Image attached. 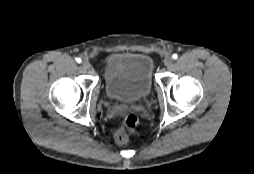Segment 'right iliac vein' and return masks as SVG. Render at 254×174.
Masks as SVG:
<instances>
[{"label": "right iliac vein", "mask_w": 254, "mask_h": 174, "mask_svg": "<svg viewBox=\"0 0 254 174\" xmlns=\"http://www.w3.org/2000/svg\"><path fill=\"white\" fill-rule=\"evenodd\" d=\"M81 65H82V68L85 69V70H88V69L91 68V64H90V62L87 61V60H84V61L81 63Z\"/></svg>", "instance_id": "1"}]
</instances>
